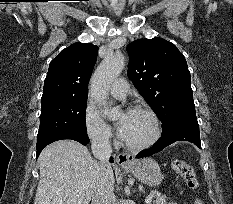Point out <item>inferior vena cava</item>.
<instances>
[{"label": "inferior vena cava", "instance_id": "inferior-vena-cava-1", "mask_svg": "<svg viewBox=\"0 0 233 204\" xmlns=\"http://www.w3.org/2000/svg\"><path fill=\"white\" fill-rule=\"evenodd\" d=\"M91 148L93 155L99 160L101 170L91 204H115L114 177L108 162L112 153L109 138L105 135L94 137Z\"/></svg>", "mask_w": 233, "mask_h": 204}]
</instances>
